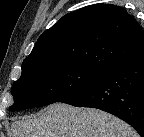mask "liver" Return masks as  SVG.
<instances>
[{
    "label": "liver",
    "instance_id": "1",
    "mask_svg": "<svg viewBox=\"0 0 144 137\" xmlns=\"http://www.w3.org/2000/svg\"><path fill=\"white\" fill-rule=\"evenodd\" d=\"M11 137H138L126 122L94 108L54 103L35 117L13 122Z\"/></svg>",
    "mask_w": 144,
    "mask_h": 137
}]
</instances>
